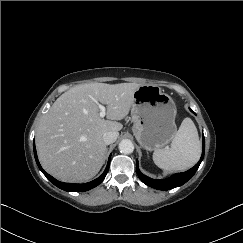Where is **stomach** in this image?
I'll use <instances>...</instances> for the list:
<instances>
[{"mask_svg":"<svg viewBox=\"0 0 243 243\" xmlns=\"http://www.w3.org/2000/svg\"><path fill=\"white\" fill-rule=\"evenodd\" d=\"M176 112L172 97L159 86H139L131 107L132 131L138 143L147 151L166 146L177 131Z\"/></svg>","mask_w":243,"mask_h":243,"instance_id":"1","label":"stomach"}]
</instances>
